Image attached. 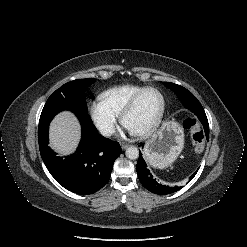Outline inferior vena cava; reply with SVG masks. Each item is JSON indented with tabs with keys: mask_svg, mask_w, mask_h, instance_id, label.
Wrapping results in <instances>:
<instances>
[{
	"mask_svg": "<svg viewBox=\"0 0 247 247\" xmlns=\"http://www.w3.org/2000/svg\"><path fill=\"white\" fill-rule=\"evenodd\" d=\"M99 130L100 133L106 137L114 133V128L112 126H102L99 128Z\"/></svg>",
	"mask_w": 247,
	"mask_h": 247,
	"instance_id": "1",
	"label": "inferior vena cava"
}]
</instances>
